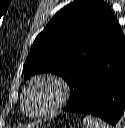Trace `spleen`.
Segmentation results:
<instances>
[{
	"mask_svg": "<svg viewBox=\"0 0 125 128\" xmlns=\"http://www.w3.org/2000/svg\"><path fill=\"white\" fill-rule=\"evenodd\" d=\"M83 128H110V126L101 119L87 115L83 119Z\"/></svg>",
	"mask_w": 125,
	"mask_h": 128,
	"instance_id": "3e777b00",
	"label": "spleen"
}]
</instances>
